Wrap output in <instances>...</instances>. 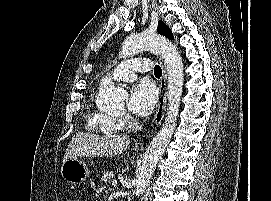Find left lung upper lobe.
Here are the masks:
<instances>
[{"label": "left lung upper lobe", "instance_id": "5c2ea615", "mask_svg": "<svg viewBox=\"0 0 271 201\" xmlns=\"http://www.w3.org/2000/svg\"><path fill=\"white\" fill-rule=\"evenodd\" d=\"M157 32L170 38V39H173V35H172L171 30L162 21H159V23H158Z\"/></svg>", "mask_w": 271, "mask_h": 201}]
</instances>
